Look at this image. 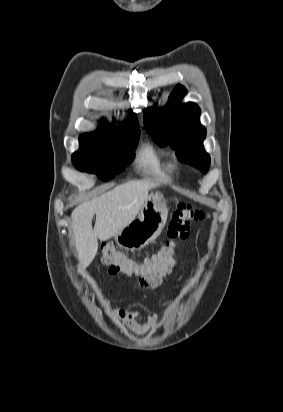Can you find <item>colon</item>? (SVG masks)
Returning <instances> with one entry per match:
<instances>
[{
  "instance_id": "1",
  "label": "colon",
  "mask_w": 283,
  "mask_h": 412,
  "mask_svg": "<svg viewBox=\"0 0 283 412\" xmlns=\"http://www.w3.org/2000/svg\"><path fill=\"white\" fill-rule=\"evenodd\" d=\"M204 220L205 213L201 209L191 204H179L172 213L168 225V241L155 255L137 262L105 244L101 248L102 262L109 265L111 274H126L157 282L170 272L177 242L189 237L190 226L193 223H201Z\"/></svg>"
}]
</instances>
